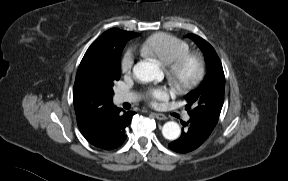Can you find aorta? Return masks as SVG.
Returning a JSON list of instances; mask_svg holds the SVG:
<instances>
[{
  "label": "aorta",
  "mask_w": 288,
  "mask_h": 181,
  "mask_svg": "<svg viewBox=\"0 0 288 181\" xmlns=\"http://www.w3.org/2000/svg\"><path fill=\"white\" fill-rule=\"evenodd\" d=\"M133 73L142 82H151L161 75L159 67L148 61L138 62L133 68ZM180 133L181 129L177 122L169 121L163 125L162 134L167 140H176Z\"/></svg>",
  "instance_id": "762f6f07"
}]
</instances>
